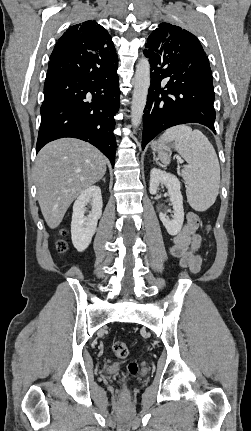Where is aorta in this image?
<instances>
[{"label": "aorta", "instance_id": "obj_1", "mask_svg": "<svg viewBox=\"0 0 251 431\" xmlns=\"http://www.w3.org/2000/svg\"><path fill=\"white\" fill-rule=\"evenodd\" d=\"M150 86V63L148 59L141 58L136 65L134 90L131 105V122L134 127L140 125L147 101Z\"/></svg>", "mask_w": 251, "mask_h": 431}]
</instances>
